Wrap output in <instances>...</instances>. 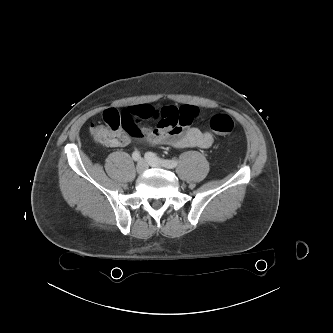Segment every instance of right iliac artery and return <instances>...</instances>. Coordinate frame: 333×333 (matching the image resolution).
Here are the masks:
<instances>
[{"instance_id": "obj_1", "label": "right iliac artery", "mask_w": 333, "mask_h": 333, "mask_svg": "<svg viewBox=\"0 0 333 333\" xmlns=\"http://www.w3.org/2000/svg\"><path fill=\"white\" fill-rule=\"evenodd\" d=\"M132 158H133L135 161H139V160H141L140 153H139L138 151H134L133 154H132Z\"/></svg>"}]
</instances>
